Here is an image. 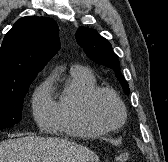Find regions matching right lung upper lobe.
<instances>
[{"instance_id": "1", "label": "right lung upper lobe", "mask_w": 168, "mask_h": 162, "mask_svg": "<svg viewBox=\"0 0 168 162\" xmlns=\"http://www.w3.org/2000/svg\"><path fill=\"white\" fill-rule=\"evenodd\" d=\"M58 31L51 18H20L0 48V86L34 79L59 49Z\"/></svg>"}]
</instances>
